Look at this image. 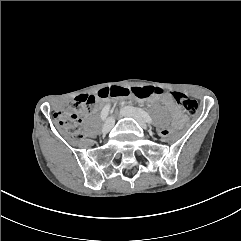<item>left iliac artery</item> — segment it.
<instances>
[{
    "label": "left iliac artery",
    "mask_w": 241,
    "mask_h": 241,
    "mask_svg": "<svg viewBox=\"0 0 241 241\" xmlns=\"http://www.w3.org/2000/svg\"><path fill=\"white\" fill-rule=\"evenodd\" d=\"M138 111L140 112V114L142 115V117L145 119V121L149 124L152 123V118L150 117V115L145 112L144 110L142 109H138Z\"/></svg>",
    "instance_id": "1"
}]
</instances>
